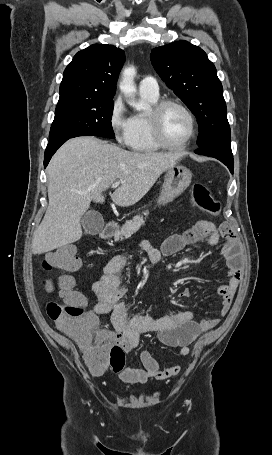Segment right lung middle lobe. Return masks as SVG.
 I'll use <instances>...</instances> for the list:
<instances>
[{
  "mask_svg": "<svg viewBox=\"0 0 272 455\" xmlns=\"http://www.w3.org/2000/svg\"><path fill=\"white\" fill-rule=\"evenodd\" d=\"M113 106L112 100L58 102L49 143L76 136L115 138L111 125Z\"/></svg>",
  "mask_w": 272,
  "mask_h": 455,
  "instance_id": "dd1d6c3e",
  "label": "right lung middle lobe"
}]
</instances>
